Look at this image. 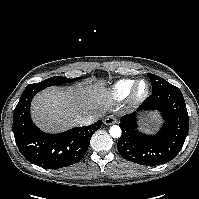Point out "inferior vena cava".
<instances>
[{"instance_id": "inferior-vena-cava-1", "label": "inferior vena cava", "mask_w": 199, "mask_h": 199, "mask_svg": "<svg viewBox=\"0 0 199 199\" xmlns=\"http://www.w3.org/2000/svg\"><path fill=\"white\" fill-rule=\"evenodd\" d=\"M99 119V115H87L79 119L78 123L81 126H87L95 123Z\"/></svg>"}]
</instances>
